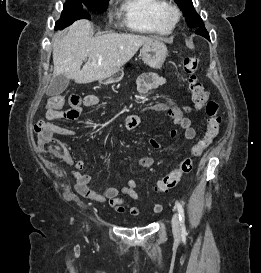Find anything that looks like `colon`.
<instances>
[{"mask_svg":"<svg viewBox=\"0 0 261 273\" xmlns=\"http://www.w3.org/2000/svg\"><path fill=\"white\" fill-rule=\"evenodd\" d=\"M199 57L197 55L187 56L183 61V70L187 75L188 88L192 95V100L196 107H204L207 114L205 133L202 138L192 147L191 156L184 158L179 165L162 177L155 187L156 192L164 193L173 189L181 180L183 175L192 171V157H197L209 147L217 137L221 124V117L218 114L219 106L216 101L208 99V93L204 84L198 77ZM65 105V98L61 95L51 96L47 103V108L62 110ZM70 108L64 111V117L68 120L78 118L81 112L82 100L78 95L69 98ZM35 135L40 149L51 154H62V144L54 138L53 133L48 129L45 121H40L35 125Z\"/></svg>","mask_w":261,"mask_h":273,"instance_id":"5ec220e1","label":"colon"}]
</instances>
